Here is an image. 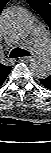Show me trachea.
I'll list each match as a JSON object with an SVG mask.
<instances>
[{"mask_svg":"<svg viewBox=\"0 0 51 153\" xmlns=\"http://www.w3.org/2000/svg\"><path fill=\"white\" fill-rule=\"evenodd\" d=\"M30 55L31 54L28 51L17 47L10 52L9 58H18V57H25Z\"/></svg>","mask_w":51,"mask_h":153,"instance_id":"obj_1","label":"trachea"}]
</instances>
